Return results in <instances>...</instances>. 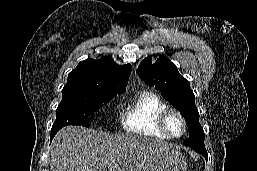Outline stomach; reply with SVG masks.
<instances>
[{
  "instance_id": "stomach-1",
  "label": "stomach",
  "mask_w": 257,
  "mask_h": 171,
  "mask_svg": "<svg viewBox=\"0 0 257 171\" xmlns=\"http://www.w3.org/2000/svg\"><path fill=\"white\" fill-rule=\"evenodd\" d=\"M139 171H187V164L176 150H153L147 154Z\"/></svg>"
}]
</instances>
